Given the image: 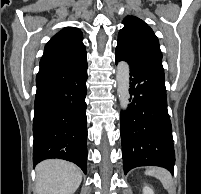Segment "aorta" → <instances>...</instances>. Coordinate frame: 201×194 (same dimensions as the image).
<instances>
[{"instance_id": "obj_1", "label": "aorta", "mask_w": 201, "mask_h": 194, "mask_svg": "<svg viewBox=\"0 0 201 194\" xmlns=\"http://www.w3.org/2000/svg\"><path fill=\"white\" fill-rule=\"evenodd\" d=\"M129 73V65L125 61L119 62L116 70L117 95L123 110H127L129 104Z\"/></svg>"}]
</instances>
